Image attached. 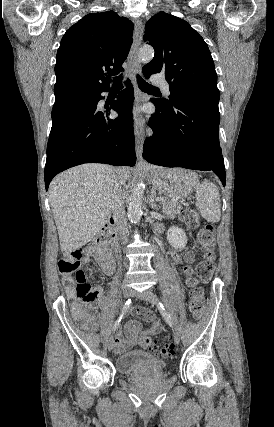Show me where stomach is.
<instances>
[{"label": "stomach", "mask_w": 274, "mask_h": 427, "mask_svg": "<svg viewBox=\"0 0 274 427\" xmlns=\"http://www.w3.org/2000/svg\"><path fill=\"white\" fill-rule=\"evenodd\" d=\"M147 178L154 188L173 200L187 198L198 184L197 174L190 170H182V168L165 170L159 166H151L150 170H147Z\"/></svg>", "instance_id": "obj_1"}]
</instances>
